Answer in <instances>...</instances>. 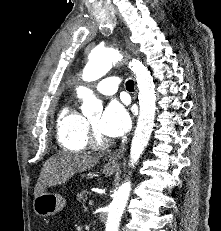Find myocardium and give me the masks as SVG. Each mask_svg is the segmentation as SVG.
Returning <instances> with one entry per match:
<instances>
[{
  "label": "myocardium",
  "instance_id": "f54148a6",
  "mask_svg": "<svg viewBox=\"0 0 221 231\" xmlns=\"http://www.w3.org/2000/svg\"><path fill=\"white\" fill-rule=\"evenodd\" d=\"M88 143L94 149H105L111 144V141L104 138L93 126L87 121Z\"/></svg>",
  "mask_w": 221,
  "mask_h": 231
}]
</instances>
